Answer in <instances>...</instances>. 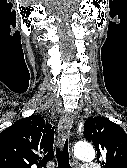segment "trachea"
I'll list each match as a JSON object with an SVG mask.
<instances>
[{
	"label": "trachea",
	"mask_w": 127,
	"mask_h": 168,
	"mask_svg": "<svg viewBox=\"0 0 127 168\" xmlns=\"http://www.w3.org/2000/svg\"><path fill=\"white\" fill-rule=\"evenodd\" d=\"M56 158L58 162V168H71L69 163V153H68V140L64 142L62 148L56 149Z\"/></svg>",
	"instance_id": "3493384b"
}]
</instances>
